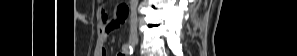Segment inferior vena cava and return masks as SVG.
<instances>
[{"label": "inferior vena cava", "mask_w": 297, "mask_h": 56, "mask_svg": "<svg viewBox=\"0 0 297 56\" xmlns=\"http://www.w3.org/2000/svg\"><path fill=\"white\" fill-rule=\"evenodd\" d=\"M137 4L138 0H132L131 2V16H130V25H131V30L136 31L137 28Z\"/></svg>", "instance_id": "602c4592"}]
</instances>
